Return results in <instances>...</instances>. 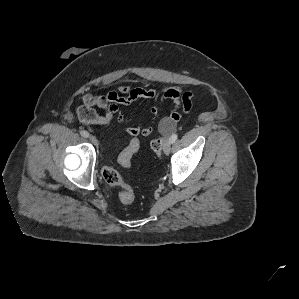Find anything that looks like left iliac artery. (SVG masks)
<instances>
[{
  "mask_svg": "<svg viewBox=\"0 0 299 299\" xmlns=\"http://www.w3.org/2000/svg\"><path fill=\"white\" fill-rule=\"evenodd\" d=\"M177 138H178L177 134H172V136L170 137L169 140H170L171 143H174L177 140Z\"/></svg>",
  "mask_w": 299,
  "mask_h": 299,
  "instance_id": "1",
  "label": "left iliac artery"
}]
</instances>
